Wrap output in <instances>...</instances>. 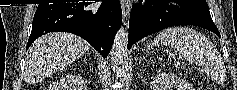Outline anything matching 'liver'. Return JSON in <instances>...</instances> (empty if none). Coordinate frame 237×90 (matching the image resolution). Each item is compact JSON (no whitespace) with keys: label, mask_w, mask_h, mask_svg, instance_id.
I'll list each match as a JSON object with an SVG mask.
<instances>
[{"label":"liver","mask_w":237,"mask_h":90,"mask_svg":"<svg viewBox=\"0 0 237 90\" xmlns=\"http://www.w3.org/2000/svg\"><path fill=\"white\" fill-rule=\"evenodd\" d=\"M90 48L86 40L75 34L52 32L41 36L30 46L25 56L28 80L31 84H37L39 78H48L67 68L89 52Z\"/></svg>","instance_id":"6515ba94"}]
</instances>
